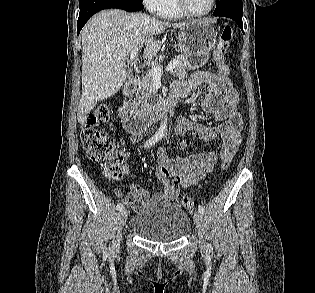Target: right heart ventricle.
Wrapping results in <instances>:
<instances>
[{
    "label": "right heart ventricle",
    "mask_w": 315,
    "mask_h": 293,
    "mask_svg": "<svg viewBox=\"0 0 315 293\" xmlns=\"http://www.w3.org/2000/svg\"><path fill=\"white\" fill-rule=\"evenodd\" d=\"M159 16L168 19L183 18V14L177 6L176 0H163L158 10Z\"/></svg>",
    "instance_id": "right-heart-ventricle-1"
}]
</instances>
